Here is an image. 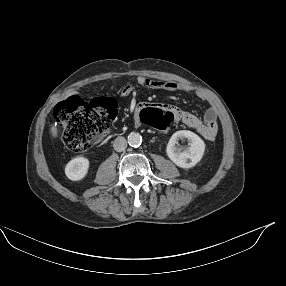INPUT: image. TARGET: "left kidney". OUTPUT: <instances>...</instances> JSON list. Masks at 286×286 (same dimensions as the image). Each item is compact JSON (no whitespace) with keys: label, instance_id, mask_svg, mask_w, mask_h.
Segmentation results:
<instances>
[{"label":"left kidney","instance_id":"1","mask_svg":"<svg viewBox=\"0 0 286 286\" xmlns=\"http://www.w3.org/2000/svg\"><path fill=\"white\" fill-rule=\"evenodd\" d=\"M187 138L188 147H177L179 139ZM205 150L204 141L189 130L175 132L167 145L166 152L170 160L181 168L194 167L203 157Z\"/></svg>","mask_w":286,"mask_h":286}]
</instances>
